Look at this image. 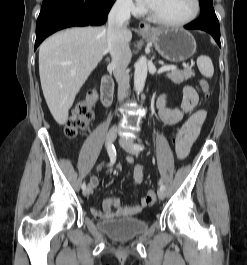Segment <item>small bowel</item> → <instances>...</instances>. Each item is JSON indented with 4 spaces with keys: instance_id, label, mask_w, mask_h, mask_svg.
Here are the masks:
<instances>
[{
    "instance_id": "obj_1",
    "label": "small bowel",
    "mask_w": 247,
    "mask_h": 265,
    "mask_svg": "<svg viewBox=\"0 0 247 265\" xmlns=\"http://www.w3.org/2000/svg\"><path fill=\"white\" fill-rule=\"evenodd\" d=\"M199 102V96L192 86L183 88V98L180 108H169L166 106V96L162 95L158 100V111L161 121L166 125H176L183 120L179 127V143L176 149L179 159H184L189 154L191 146L197 139L201 128L206 119V111L196 109ZM133 163V159H128ZM144 166L138 164L134 168V180L136 184H141L144 178ZM91 187L98 185V179L92 177ZM104 210L100 211L95 207H90V214L98 220H107L112 218L135 216L141 213L147 206L145 198H142L137 205L123 207L117 198H107L104 201Z\"/></svg>"
}]
</instances>
